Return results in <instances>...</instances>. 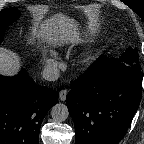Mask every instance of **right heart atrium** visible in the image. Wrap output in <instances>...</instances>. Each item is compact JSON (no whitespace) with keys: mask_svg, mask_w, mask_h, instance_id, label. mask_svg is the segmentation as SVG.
Returning a JSON list of instances; mask_svg holds the SVG:
<instances>
[{"mask_svg":"<svg viewBox=\"0 0 144 144\" xmlns=\"http://www.w3.org/2000/svg\"><path fill=\"white\" fill-rule=\"evenodd\" d=\"M45 62L50 68H54L58 65V60L53 53H45Z\"/></svg>","mask_w":144,"mask_h":144,"instance_id":"d8ad5b80","label":"right heart atrium"}]
</instances>
